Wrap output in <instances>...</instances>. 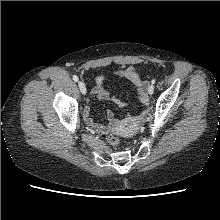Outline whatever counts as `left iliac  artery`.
Listing matches in <instances>:
<instances>
[{
    "instance_id": "obj_1",
    "label": "left iliac artery",
    "mask_w": 220,
    "mask_h": 220,
    "mask_svg": "<svg viewBox=\"0 0 220 220\" xmlns=\"http://www.w3.org/2000/svg\"><path fill=\"white\" fill-rule=\"evenodd\" d=\"M151 82H152V84H154L155 83V79H153Z\"/></svg>"
}]
</instances>
